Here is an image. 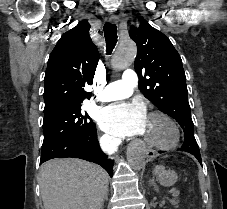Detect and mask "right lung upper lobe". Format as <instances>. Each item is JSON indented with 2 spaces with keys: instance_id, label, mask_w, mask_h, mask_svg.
Returning a JSON list of instances; mask_svg holds the SVG:
<instances>
[{
  "instance_id": "obj_1",
  "label": "right lung upper lobe",
  "mask_w": 227,
  "mask_h": 209,
  "mask_svg": "<svg viewBox=\"0 0 227 209\" xmlns=\"http://www.w3.org/2000/svg\"><path fill=\"white\" fill-rule=\"evenodd\" d=\"M89 30L88 21L83 20L57 42L45 72V102L53 98L84 100L91 97L83 86L93 83L99 55Z\"/></svg>"
}]
</instances>
